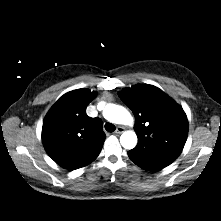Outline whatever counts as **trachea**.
Instances as JSON below:
<instances>
[{
  "mask_svg": "<svg viewBox=\"0 0 221 221\" xmlns=\"http://www.w3.org/2000/svg\"><path fill=\"white\" fill-rule=\"evenodd\" d=\"M105 129L108 131V132H114L116 127L115 125H113L112 123H106L105 124Z\"/></svg>",
  "mask_w": 221,
  "mask_h": 221,
  "instance_id": "1",
  "label": "trachea"
}]
</instances>
